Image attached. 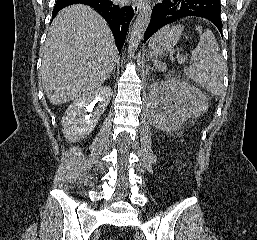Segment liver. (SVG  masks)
<instances>
[{"mask_svg":"<svg viewBox=\"0 0 257 240\" xmlns=\"http://www.w3.org/2000/svg\"><path fill=\"white\" fill-rule=\"evenodd\" d=\"M118 51L106 21L86 5L54 18L42 50L40 77L50 102L60 105L100 87L115 69Z\"/></svg>","mask_w":257,"mask_h":240,"instance_id":"6515ba94","label":"liver"}]
</instances>
